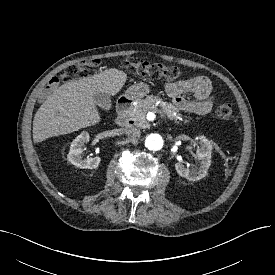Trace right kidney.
Wrapping results in <instances>:
<instances>
[{"label":"right kidney","mask_w":275,"mask_h":275,"mask_svg":"<svg viewBox=\"0 0 275 275\" xmlns=\"http://www.w3.org/2000/svg\"><path fill=\"white\" fill-rule=\"evenodd\" d=\"M89 133L82 132L78 135L70 145V151L68 153V161L74 166L81 169H95L100 164L101 158L96 156L93 158L83 159L81 153L83 152L82 147L84 143L89 141Z\"/></svg>","instance_id":"1"}]
</instances>
